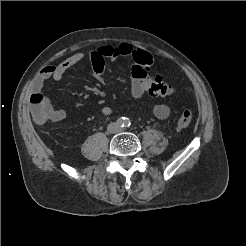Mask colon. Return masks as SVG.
<instances>
[{"instance_id": "1", "label": "colon", "mask_w": 246, "mask_h": 246, "mask_svg": "<svg viewBox=\"0 0 246 246\" xmlns=\"http://www.w3.org/2000/svg\"><path fill=\"white\" fill-rule=\"evenodd\" d=\"M133 64L141 72H146L153 65V57L150 53L135 49L132 53ZM175 88L164 82L160 77L154 78L148 85L147 93L154 97H165L173 95ZM31 112L37 123H45L49 114V107L44 97L39 93H34L30 97ZM192 121V113L189 110L183 111L178 119L177 125L180 128L187 127Z\"/></svg>"}]
</instances>
